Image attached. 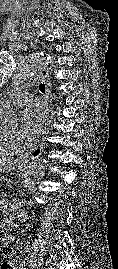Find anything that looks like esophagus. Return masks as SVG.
Here are the masks:
<instances>
[{
    "mask_svg": "<svg viewBox=\"0 0 118 269\" xmlns=\"http://www.w3.org/2000/svg\"><path fill=\"white\" fill-rule=\"evenodd\" d=\"M40 77L43 80V82L45 83L46 86V100L49 102V112L53 110V95H52V85H51V81H50V75H49V71L47 68H44L40 71ZM53 116H49V124L48 126L45 128V136L43 137L42 142L39 144V146L35 147L34 149H32L31 151H29L28 153L22 155L20 157L21 161H29V160H35L37 159L43 152L44 147H45V139L48 136L49 132H50V122L52 120Z\"/></svg>",
    "mask_w": 118,
    "mask_h": 269,
    "instance_id": "34e87169",
    "label": "esophagus"
}]
</instances>
